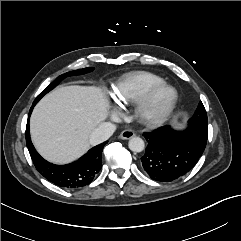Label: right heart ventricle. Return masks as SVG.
<instances>
[{
  "label": "right heart ventricle",
  "instance_id": "e07e8e85",
  "mask_svg": "<svg viewBox=\"0 0 241 241\" xmlns=\"http://www.w3.org/2000/svg\"><path fill=\"white\" fill-rule=\"evenodd\" d=\"M163 78L148 71H134L122 76L115 84L112 98L117 103L130 105L138 102L153 86L162 83Z\"/></svg>",
  "mask_w": 241,
  "mask_h": 241
}]
</instances>
